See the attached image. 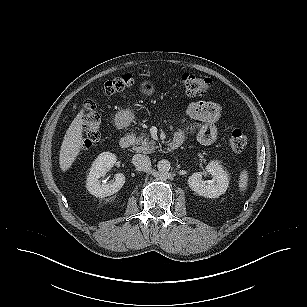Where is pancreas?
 <instances>
[{"label": "pancreas", "instance_id": "pancreas-1", "mask_svg": "<svg viewBox=\"0 0 307 307\" xmlns=\"http://www.w3.org/2000/svg\"><path fill=\"white\" fill-rule=\"evenodd\" d=\"M130 136L134 138V151L147 154L154 152L156 148L155 141L149 140V137L145 136L144 133L140 134L138 137L133 133Z\"/></svg>", "mask_w": 307, "mask_h": 307}]
</instances>
